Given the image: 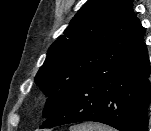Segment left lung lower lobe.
Returning <instances> with one entry per match:
<instances>
[{
    "instance_id": "obj_1",
    "label": "left lung lower lobe",
    "mask_w": 151,
    "mask_h": 131,
    "mask_svg": "<svg viewBox=\"0 0 151 131\" xmlns=\"http://www.w3.org/2000/svg\"><path fill=\"white\" fill-rule=\"evenodd\" d=\"M144 33L138 22L132 56L114 69L85 75L40 128L95 121L119 131H148L151 68Z\"/></svg>"
}]
</instances>
